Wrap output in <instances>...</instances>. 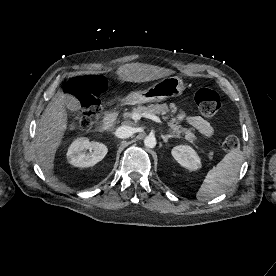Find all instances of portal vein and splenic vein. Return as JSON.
Segmentation results:
<instances>
[{"label":"portal vein and splenic vein","instance_id":"obj_1","mask_svg":"<svg viewBox=\"0 0 276 276\" xmlns=\"http://www.w3.org/2000/svg\"><path fill=\"white\" fill-rule=\"evenodd\" d=\"M142 117L151 119V120H153V121H155L157 123L162 124L161 119L158 116H156V115H154L152 113L143 112V113H134L132 115V119L135 120V121L140 120Z\"/></svg>","mask_w":276,"mask_h":276}]
</instances>
